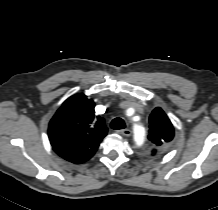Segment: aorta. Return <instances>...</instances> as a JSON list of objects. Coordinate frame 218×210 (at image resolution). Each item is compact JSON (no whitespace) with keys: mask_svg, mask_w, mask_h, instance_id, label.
Listing matches in <instances>:
<instances>
[{"mask_svg":"<svg viewBox=\"0 0 218 210\" xmlns=\"http://www.w3.org/2000/svg\"><path fill=\"white\" fill-rule=\"evenodd\" d=\"M133 132L135 143L137 145L142 144L145 138V128L140 123H135L133 125Z\"/></svg>","mask_w":218,"mask_h":210,"instance_id":"aorta-1","label":"aorta"}]
</instances>
